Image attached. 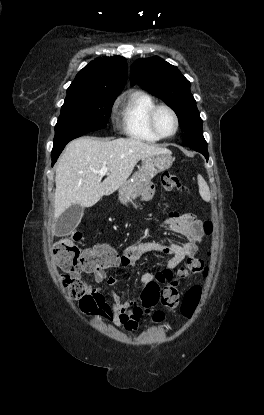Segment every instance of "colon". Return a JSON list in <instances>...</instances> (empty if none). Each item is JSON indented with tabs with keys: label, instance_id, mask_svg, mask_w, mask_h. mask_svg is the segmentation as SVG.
<instances>
[{
	"label": "colon",
	"instance_id": "5ec220e1",
	"mask_svg": "<svg viewBox=\"0 0 264 415\" xmlns=\"http://www.w3.org/2000/svg\"><path fill=\"white\" fill-rule=\"evenodd\" d=\"M161 183L165 190L183 192L184 188L180 178L173 172H164L161 175ZM214 231L213 222L210 219L204 221V232L211 236ZM82 240V233L64 237L54 244L53 256L56 265L62 270L60 281L69 294L71 300L77 304L83 312H94L97 303L94 297L87 291L80 278V273L86 268H103L115 264L121 255L105 245L95 246L82 251L78 244ZM202 260L192 257L178 269V273H189L199 270ZM202 295L201 287L193 286L184 295L180 305L181 314L190 319L200 303ZM167 310L173 311L179 304L178 279L171 271H163L154 282L145 285L140 304L143 307V315L158 318L160 311L155 310L158 304Z\"/></svg>",
	"mask_w": 264,
	"mask_h": 415
}]
</instances>
